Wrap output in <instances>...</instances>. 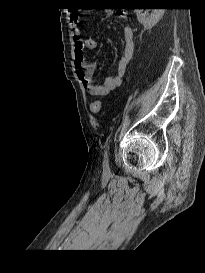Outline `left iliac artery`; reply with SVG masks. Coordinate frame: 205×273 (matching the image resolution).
I'll return each instance as SVG.
<instances>
[{"instance_id": "obj_1", "label": "left iliac artery", "mask_w": 205, "mask_h": 273, "mask_svg": "<svg viewBox=\"0 0 205 273\" xmlns=\"http://www.w3.org/2000/svg\"><path fill=\"white\" fill-rule=\"evenodd\" d=\"M110 142H111V138H109L106 147H105V156L107 157L108 152H109V148H110Z\"/></svg>"}]
</instances>
